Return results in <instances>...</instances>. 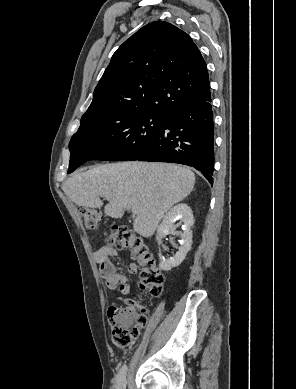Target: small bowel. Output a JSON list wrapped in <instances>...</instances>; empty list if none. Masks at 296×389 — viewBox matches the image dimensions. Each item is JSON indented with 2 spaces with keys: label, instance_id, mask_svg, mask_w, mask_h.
<instances>
[{
  "label": "small bowel",
  "instance_id": "c3829d8e",
  "mask_svg": "<svg viewBox=\"0 0 296 389\" xmlns=\"http://www.w3.org/2000/svg\"><path fill=\"white\" fill-rule=\"evenodd\" d=\"M116 254L115 249L109 246H103L94 252V260L99 266V271L105 279V284L110 290H118L121 295H129L131 286L127 278L116 271L111 257ZM128 272L136 274L138 272V265L134 262L128 265Z\"/></svg>",
  "mask_w": 296,
  "mask_h": 389
}]
</instances>
